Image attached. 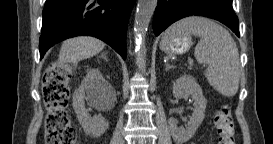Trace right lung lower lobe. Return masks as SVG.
Masks as SVG:
<instances>
[{
    "label": "right lung lower lobe",
    "mask_w": 273,
    "mask_h": 144,
    "mask_svg": "<svg viewBox=\"0 0 273 144\" xmlns=\"http://www.w3.org/2000/svg\"><path fill=\"white\" fill-rule=\"evenodd\" d=\"M135 0H46L39 51L78 35L97 37L126 58L127 24Z\"/></svg>",
    "instance_id": "98d812e1"
}]
</instances>
